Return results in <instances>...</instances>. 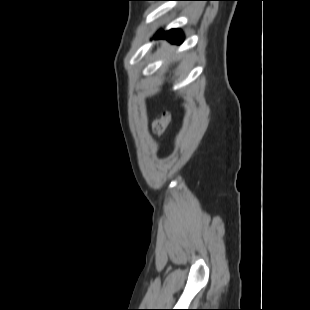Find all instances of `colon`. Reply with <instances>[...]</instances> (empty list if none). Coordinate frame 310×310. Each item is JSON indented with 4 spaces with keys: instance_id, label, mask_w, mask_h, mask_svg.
I'll return each instance as SVG.
<instances>
[{
    "instance_id": "obj_1",
    "label": "colon",
    "mask_w": 310,
    "mask_h": 310,
    "mask_svg": "<svg viewBox=\"0 0 310 310\" xmlns=\"http://www.w3.org/2000/svg\"><path fill=\"white\" fill-rule=\"evenodd\" d=\"M170 122V114L168 112H164L159 118L153 121L152 123V131L156 136L163 135L168 129Z\"/></svg>"
}]
</instances>
